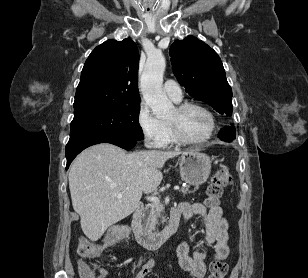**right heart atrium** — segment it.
Returning <instances> with one entry per match:
<instances>
[{
  "instance_id": "1",
  "label": "right heart atrium",
  "mask_w": 308,
  "mask_h": 278,
  "mask_svg": "<svg viewBox=\"0 0 308 278\" xmlns=\"http://www.w3.org/2000/svg\"><path fill=\"white\" fill-rule=\"evenodd\" d=\"M137 124L144 140L153 147H163L168 139L166 122L158 119L147 105L141 104L137 114Z\"/></svg>"
}]
</instances>
